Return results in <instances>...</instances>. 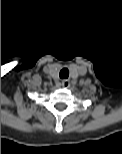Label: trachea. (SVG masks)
<instances>
[{
	"mask_svg": "<svg viewBox=\"0 0 122 154\" xmlns=\"http://www.w3.org/2000/svg\"><path fill=\"white\" fill-rule=\"evenodd\" d=\"M59 76L61 79H67L69 76V70L67 68H63L60 73Z\"/></svg>",
	"mask_w": 122,
	"mask_h": 154,
	"instance_id": "3493384b",
	"label": "trachea"
}]
</instances>
